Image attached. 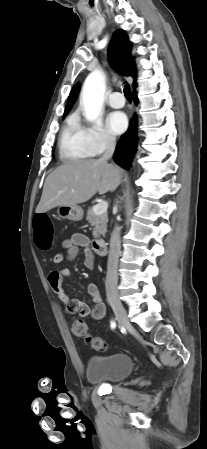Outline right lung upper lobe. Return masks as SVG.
Returning a JSON list of instances; mask_svg holds the SVG:
<instances>
[{
    "label": "right lung upper lobe",
    "mask_w": 207,
    "mask_h": 449,
    "mask_svg": "<svg viewBox=\"0 0 207 449\" xmlns=\"http://www.w3.org/2000/svg\"><path fill=\"white\" fill-rule=\"evenodd\" d=\"M131 43L129 42L127 34L123 30L114 32L109 44L108 54L111 63L116 69L127 76H132L134 79L133 86L136 87V68L131 57ZM79 92V85L73 86L67 100L64 116L69 112L73 103L75 102Z\"/></svg>",
    "instance_id": "right-lung-upper-lobe-1"
}]
</instances>
